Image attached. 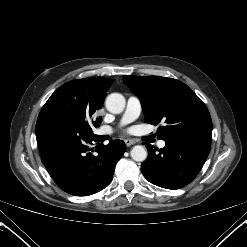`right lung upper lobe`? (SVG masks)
I'll return each mask as SVG.
<instances>
[{"label": "right lung upper lobe", "mask_w": 247, "mask_h": 247, "mask_svg": "<svg viewBox=\"0 0 247 247\" xmlns=\"http://www.w3.org/2000/svg\"><path fill=\"white\" fill-rule=\"evenodd\" d=\"M79 80L100 95L103 98V101L110 85L114 81L106 78H85Z\"/></svg>", "instance_id": "cb5924a9"}]
</instances>
